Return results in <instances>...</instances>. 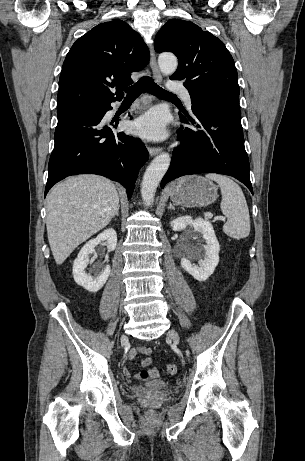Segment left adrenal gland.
Masks as SVG:
<instances>
[{"instance_id":"obj_1","label":"left adrenal gland","mask_w":305,"mask_h":461,"mask_svg":"<svg viewBox=\"0 0 305 461\" xmlns=\"http://www.w3.org/2000/svg\"><path fill=\"white\" fill-rule=\"evenodd\" d=\"M169 209L175 210V208H174V206L172 205L171 202L169 203V206H168V210H169Z\"/></svg>"}]
</instances>
